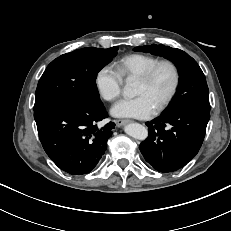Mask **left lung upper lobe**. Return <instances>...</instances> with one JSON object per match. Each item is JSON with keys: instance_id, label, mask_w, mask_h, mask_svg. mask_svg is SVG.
<instances>
[{"instance_id": "left-lung-upper-lobe-1", "label": "left lung upper lobe", "mask_w": 231, "mask_h": 231, "mask_svg": "<svg viewBox=\"0 0 231 231\" xmlns=\"http://www.w3.org/2000/svg\"><path fill=\"white\" fill-rule=\"evenodd\" d=\"M134 50L163 56L174 62L179 71L180 82L177 93L163 113L182 108L210 112L209 90L205 75L192 57L180 49L156 44L135 47Z\"/></svg>"}]
</instances>
